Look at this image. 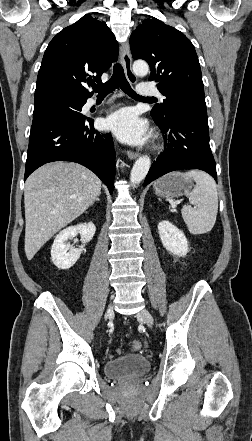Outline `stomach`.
<instances>
[{
    "mask_svg": "<svg viewBox=\"0 0 252 441\" xmlns=\"http://www.w3.org/2000/svg\"><path fill=\"white\" fill-rule=\"evenodd\" d=\"M193 186L191 179L170 174L154 183V191L160 197L174 198L189 192Z\"/></svg>",
    "mask_w": 252,
    "mask_h": 441,
    "instance_id": "stomach-1",
    "label": "stomach"
}]
</instances>
